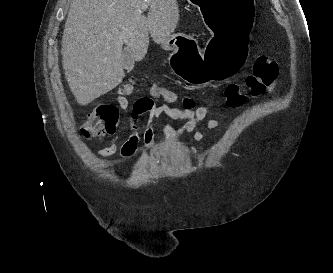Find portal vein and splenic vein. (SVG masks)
<instances>
[{"mask_svg":"<svg viewBox=\"0 0 333 273\" xmlns=\"http://www.w3.org/2000/svg\"><path fill=\"white\" fill-rule=\"evenodd\" d=\"M146 2H147V0H146ZM147 8H148V3H144V4L142 5V7H141V10L144 11V10H146Z\"/></svg>","mask_w":333,"mask_h":273,"instance_id":"portal-vein-and-splenic-vein-1","label":"portal vein and splenic vein"}]
</instances>
